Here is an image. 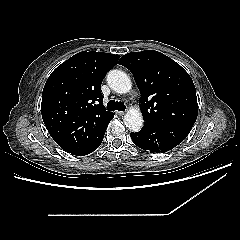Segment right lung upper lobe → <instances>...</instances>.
<instances>
[{
  "mask_svg": "<svg viewBox=\"0 0 240 240\" xmlns=\"http://www.w3.org/2000/svg\"><path fill=\"white\" fill-rule=\"evenodd\" d=\"M119 55L82 51L59 65L42 93L41 113L51 137L78 153L99 138L114 114L103 106L101 83Z\"/></svg>",
  "mask_w": 240,
  "mask_h": 240,
  "instance_id": "right-lung-upper-lobe-1",
  "label": "right lung upper lobe"
}]
</instances>
